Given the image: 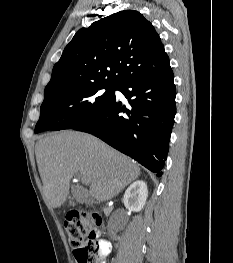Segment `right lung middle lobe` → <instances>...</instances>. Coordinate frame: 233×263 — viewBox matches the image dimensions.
Here are the masks:
<instances>
[{"label": "right lung middle lobe", "instance_id": "1", "mask_svg": "<svg viewBox=\"0 0 233 263\" xmlns=\"http://www.w3.org/2000/svg\"><path fill=\"white\" fill-rule=\"evenodd\" d=\"M116 88L89 85L44 98L35 133L75 127L106 107L114 99Z\"/></svg>", "mask_w": 233, "mask_h": 263}]
</instances>
